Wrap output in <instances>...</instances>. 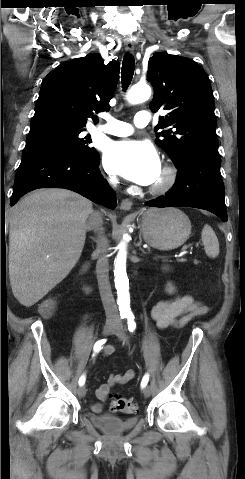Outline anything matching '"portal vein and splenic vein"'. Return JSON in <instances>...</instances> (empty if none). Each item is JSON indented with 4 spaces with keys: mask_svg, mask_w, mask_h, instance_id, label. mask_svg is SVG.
I'll return each mask as SVG.
<instances>
[{
    "mask_svg": "<svg viewBox=\"0 0 245 479\" xmlns=\"http://www.w3.org/2000/svg\"><path fill=\"white\" fill-rule=\"evenodd\" d=\"M187 249H188V246H184V247L182 248L181 252L179 253V255H180V256H183V255L187 254V253H188V250H187Z\"/></svg>",
    "mask_w": 245,
    "mask_h": 479,
    "instance_id": "18ae733b",
    "label": "portal vein and splenic vein"
}]
</instances>
